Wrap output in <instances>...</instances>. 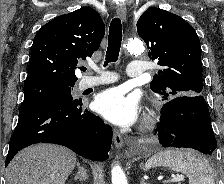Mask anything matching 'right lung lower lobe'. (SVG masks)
Wrapping results in <instances>:
<instances>
[{
    "label": "right lung lower lobe",
    "instance_id": "1",
    "mask_svg": "<svg viewBox=\"0 0 224 184\" xmlns=\"http://www.w3.org/2000/svg\"><path fill=\"white\" fill-rule=\"evenodd\" d=\"M112 129L81 100L47 99L19 111L5 167L21 149L36 143L66 146L84 158L103 161L111 148Z\"/></svg>",
    "mask_w": 224,
    "mask_h": 184
}]
</instances>
